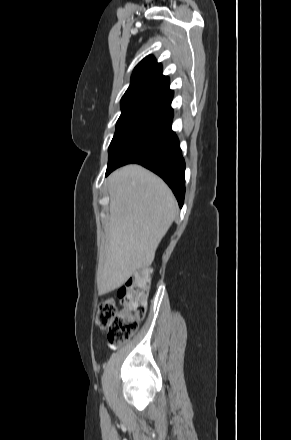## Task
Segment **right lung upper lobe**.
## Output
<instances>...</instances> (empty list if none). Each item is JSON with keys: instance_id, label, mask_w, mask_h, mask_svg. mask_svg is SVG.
Returning <instances> with one entry per match:
<instances>
[{"instance_id": "obj_1", "label": "right lung upper lobe", "mask_w": 291, "mask_h": 440, "mask_svg": "<svg viewBox=\"0 0 291 440\" xmlns=\"http://www.w3.org/2000/svg\"><path fill=\"white\" fill-rule=\"evenodd\" d=\"M169 78L162 75V65L150 55L144 58L134 69L129 88L121 103L136 100L154 101L169 90Z\"/></svg>"}]
</instances>
